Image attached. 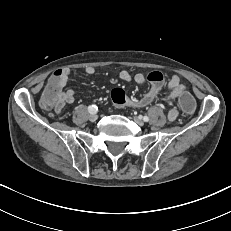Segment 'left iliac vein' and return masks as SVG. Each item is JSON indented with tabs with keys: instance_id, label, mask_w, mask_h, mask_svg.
<instances>
[{
	"instance_id": "4c4485c4",
	"label": "left iliac vein",
	"mask_w": 231,
	"mask_h": 231,
	"mask_svg": "<svg viewBox=\"0 0 231 231\" xmlns=\"http://www.w3.org/2000/svg\"><path fill=\"white\" fill-rule=\"evenodd\" d=\"M134 121H135L139 126H143V125H144V121H143L142 118H140V117H134Z\"/></svg>"
}]
</instances>
